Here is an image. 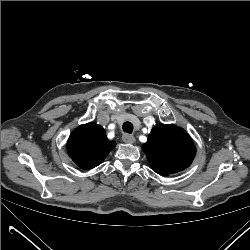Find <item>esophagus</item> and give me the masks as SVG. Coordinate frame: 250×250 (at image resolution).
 <instances>
[{
  "label": "esophagus",
  "instance_id": "34e87169",
  "mask_svg": "<svg viewBox=\"0 0 250 250\" xmlns=\"http://www.w3.org/2000/svg\"><path fill=\"white\" fill-rule=\"evenodd\" d=\"M122 140L124 143L133 144L135 142V138L132 135L125 134L122 136Z\"/></svg>",
  "mask_w": 250,
  "mask_h": 250
}]
</instances>
